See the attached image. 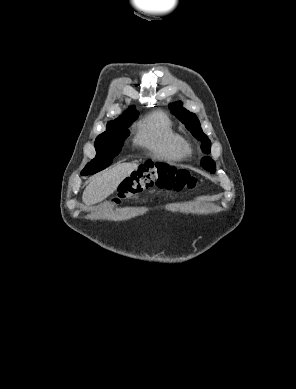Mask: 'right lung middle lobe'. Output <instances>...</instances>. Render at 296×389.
<instances>
[{"label": "right lung middle lobe", "instance_id": "dd1d6c3e", "mask_svg": "<svg viewBox=\"0 0 296 389\" xmlns=\"http://www.w3.org/2000/svg\"><path fill=\"white\" fill-rule=\"evenodd\" d=\"M138 111L123 114L108 122L105 132L95 141L96 157L86 165L88 170L101 171L112 163V159L121 151L124 140L129 136L127 127L138 117Z\"/></svg>", "mask_w": 296, "mask_h": 389}]
</instances>
